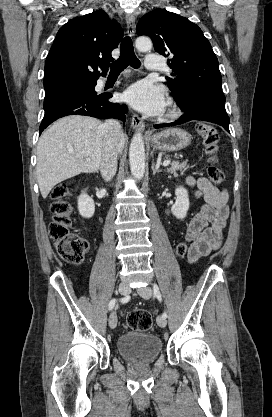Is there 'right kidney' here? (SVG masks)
I'll list each match as a JSON object with an SVG mask.
<instances>
[{
	"label": "right kidney",
	"mask_w": 272,
	"mask_h": 417,
	"mask_svg": "<svg viewBox=\"0 0 272 417\" xmlns=\"http://www.w3.org/2000/svg\"><path fill=\"white\" fill-rule=\"evenodd\" d=\"M79 214L84 218H91L95 212L94 200L83 191L78 197Z\"/></svg>",
	"instance_id": "ca27d5eb"
}]
</instances>
